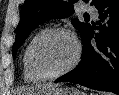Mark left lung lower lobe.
Masks as SVG:
<instances>
[{"mask_svg": "<svg viewBox=\"0 0 119 95\" xmlns=\"http://www.w3.org/2000/svg\"><path fill=\"white\" fill-rule=\"evenodd\" d=\"M99 22L90 26L83 39L79 65L55 80L72 82L119 95V0H104L99 6ZM96 41L91 45V39Z\"/></svg>", "mask_w": 119, "mask_h": 95, "instance_id": "1", "label": "left lung lower lobe"}]
</instances>
